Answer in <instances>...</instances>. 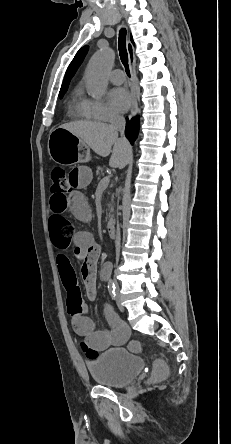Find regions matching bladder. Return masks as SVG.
<instances>
[{"label":"bladder","instance_id":"1","mask_svg":"<svg viewBox=\"0 0 231 444\" xmlns=\"http://www.w3.org/2000/svg\"><path fill=\"white\" fill-rule=\"evenodd\" d=\"M93 379L100 385L123 387L131 383L142 371V359L127 348L107 350L86 363Z\"/></svg>","mask_w":231,"mask_h":444}]
</instances>
